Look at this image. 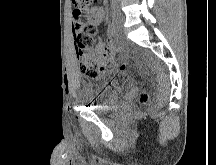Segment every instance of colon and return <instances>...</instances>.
Listing matches in <instances>:
<instances>
[{
  "instance_id": "5ec220e1",
  "label": "colon",
  "mask_w": 216,
  "mask_h": 165,
  "mask_svg": "<svg viewBox=\"0 0 216 165\" xmlns=\"http://www.w3.org/2000/svg\"><path fill=\"white\" fill-rule=\"evenodd\" d=\"M99 0H72L75 8H80V13L89 10L93 5L98 3ZM96 34V26L86 25L76 35L74 45L76 56L78 60V70L81 76L86 79H95L102 72L112 68V52L107 50L100 53L94 49V38ZM127 65L120 64V70L125 71ZM148 94L146 91H141L139 94V101L146 103Z\"/></svg>"
}]
</instances>
